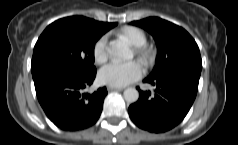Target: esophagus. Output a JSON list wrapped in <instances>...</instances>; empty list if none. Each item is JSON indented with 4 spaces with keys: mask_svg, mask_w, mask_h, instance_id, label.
<instances>
[{
    "mask_svg": "<svg viewBox=\"0 0 238 145\" xmlns=\"http://www.w3.org/2000/svg\"><path fill=\"white\" fill-rule=\"evenodd\" d=\"M124 88H119V87H108V91H122Z\"/></svg>",
    "mask_w": 238,
    "mask_h": 145,
    "instance_id": "1",
    "label": "esophagus"
}]
</instances>
